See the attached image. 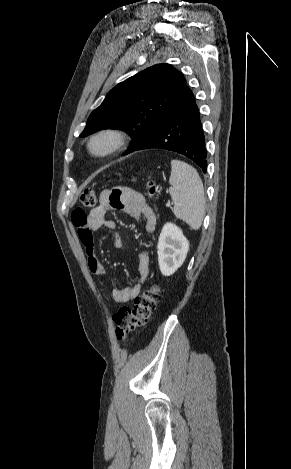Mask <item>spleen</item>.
Segmentation results:
<instances>
[{
    "instance_id": "3e777b00",
    "label": "spleen",
    "mask_w": 291,
    "mask_h": 469,
    "mask_svg": "<svg viewBox=\"0 0 291 469\" xmlns=\"http://www.w3.org/2000/svg\"><path fill=\"white\" fill-rule=\"evenodd\" d=\"M169 183L175 216L185 221L191 229L198 230L205 215V197L197 170L183 161L172 160Z\"/></svg>"
}]
</instances>
